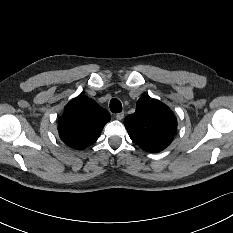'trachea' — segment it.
<instances>
[{"mask_svg":"<svg viewBox=\"0 0 233 233\" xmlns=\"http://www.w3.org/2000/svg\"><path fill=\"white\" fill-rule=\"evenodd\" d=\"M110 110L112 113H120L122 111V104L118 99H111Z\"/></svg>","mask_w":233,"mask_h":233,"instance_id":"3493384b","label":"trachea"}]
</instances>
